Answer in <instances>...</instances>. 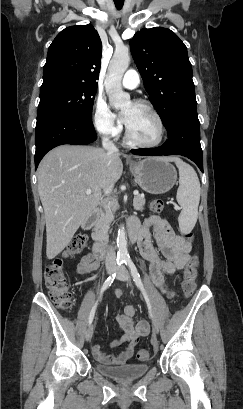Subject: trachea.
Here are the masks:
<instances>
[{
	"instance_id": "trachea-1",
	"label": "trachea",
	"mask_w": 243,
	"mask_h": 409,
	"mask_svg": "<svg viewBox=\"0 0 243 409\" xmlns=\"http://www.w3.org/2000/svg\"><path fill=\"white\" fill-rule=\"evenodd\" d=\"M114 3H115L116 8L120 10L123 7L124 1L123 0L119 2L114 1Z\"/></svg>"
}]
</instances>
